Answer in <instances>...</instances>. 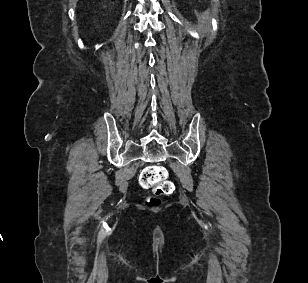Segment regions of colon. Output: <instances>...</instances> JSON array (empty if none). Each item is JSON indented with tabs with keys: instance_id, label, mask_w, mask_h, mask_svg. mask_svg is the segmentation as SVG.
Returning a JSON list of instances; mask_svg holds the SVG:
<instances>
[{
	"instance_id": "colon-1",
	"label": "colon",
	"mask_w": 308,
	"mask_h": 283,
	"mask_svg": "<svg viewBox=\"0 0 308 283\" xmlns=\"http://www.w3.org/2000/svg\"><path fill=\"white\" fill-rule=\"evenodd\" d=\"M138 181L141 187L151 189L156 197L167 196L174 191V184L168 179L167 170L159 165L144 167L139 173Z\"/></svg>"
}]
</instances>
